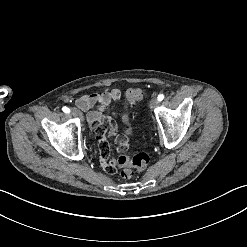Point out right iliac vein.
Instances as JSON below:
<instances>
[{"instance_id":"63e3f726","label":"right iliac vein","mask_w":247,"mask_h":247,"mask_svg":"<svg viewBox=\"0 0 247 247\" xmlns=\"http://www.w3.org/2000/svg\"><path fill=\"white\" fill-rule=\"evenodd\" d=\"M72 114L74 115V116H77V117H80L81 119H83V117H82V115L80 114V112L77 110V109H73L72 110Z\"/></svg>"}]
</instances>
